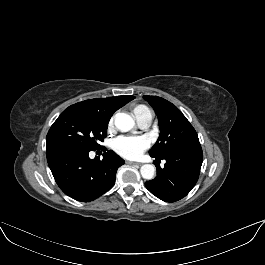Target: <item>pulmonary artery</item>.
Wrapping results in <instances>:
<instances>
[{"label": "pulmonary artery", "instance_id": "e3ab8cb5", "mask_svg": "<svg viewBox=\"0 0 265 265\" xmlns=\"http://www.w3.org/2000/svg\"><path fill=\"white\" fill-rule=\"evenodd\" d=\"M151 120L152 119L150 117H146V118L138 120L137 122L141 128H147L150 125Z\"/></svg>", "mask_w": 265, "mask_h": 265}]
</instances>
